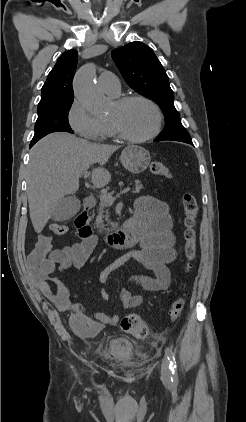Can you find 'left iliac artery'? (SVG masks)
<instances>
[{
	"instance_id": "obj_1",
	"label": "left iliac artery",
	"mask_w": 246,
	"mask_h": 422,
	"mask_svg": "<svg viewBox=\"0 0 246 422\" xmlns=\"http://www.w3.org/2000/svg\"><path fill=\"white\" fill-rule=\"evenodd\" d=\"M167 358L170 362V370L172 373L171 380L172 382H177L178 375H177V365H176V358L174 352L170 348L166 349Z\"/></svg>"
}]
</instances>
